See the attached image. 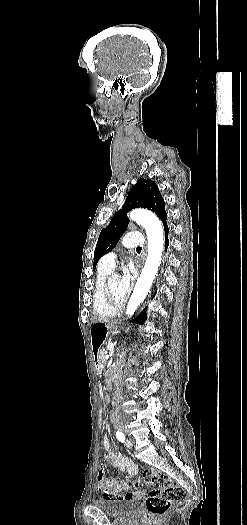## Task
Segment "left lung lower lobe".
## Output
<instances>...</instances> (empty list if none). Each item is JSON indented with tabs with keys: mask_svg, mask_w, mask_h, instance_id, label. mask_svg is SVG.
Returning <instances> with one entry per match:
<instances>
[{
	"mask_svg": "<svg viewBox=\"0 0 247 525\" xmlns=\"http://www.w3.org/2000/svg\"><path fill=\"white\" fill-rule=\"evenodd\" d=\"M163 222V225H164V229H165V249L167 250L168 248V245H169V241H168V226H167V223H166V218H164L162 220ZM146 309H144L142 311V313L137 316L134 321L137 322V323H144V321L146 320V313H145Z\"/></svg>",
	"mask_w": 247,
	"mask_h": 525,
	"instance_id": "1",
	"label": "left lung lower lobe"
}]
</instances>
